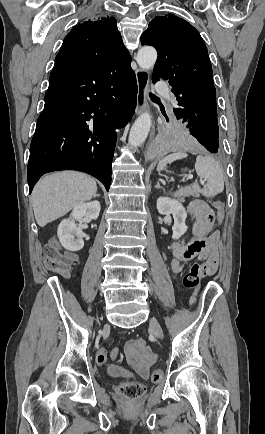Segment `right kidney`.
Listing matches in <instances>:
<instances>
[{
    "mask_svg": "<svg viewBox=\"0 0 265 434\" xmlns=\"http://www.w3.org/2000/svg\"><path fill=\"white\" fill-rule=\"evenodd\" d=\"M100 202H87V204H79L75 206L70 218L62 220L58 226L57 236L60 244L69 252H78L84 246V234L82 232V224L84 220H97L100 214ZM79 222V224H76Z\"/></svg>",
    "mask_w": 265,
    "mask_h": 434,
    "instance_id": "1",
    "label": "right kidney"
}]
</instances>
